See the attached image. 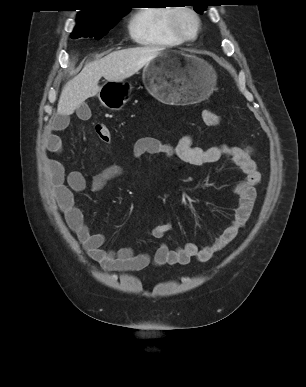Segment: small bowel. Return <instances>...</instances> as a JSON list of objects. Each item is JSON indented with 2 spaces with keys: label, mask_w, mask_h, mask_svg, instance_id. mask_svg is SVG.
Listing matches in <instances>:
<instances>
[{
  "label": "small bowel",
  "mask_w": 306,
  "mask_h": 387,
  "mask_svg": "<svg viewBox=\"0 0 306 387\" xmlns=\"http://www.w3.org/2000/svg\"><path fill=\"white\" fill-rule=\"evenodd\" d=\"M68 124V115L60 114L48 126L45 134V149L48 153L59 154L63 151L62 139L55 132L65 129ZM147 154H163L180 165L192 166L214 163L222 158L231 159L244 174V179L236 182L232 189L238 196V205L228 226L211 244L202 248L193 243H187L183 247L170 249L162 243L153 256L148 253L136 254L129 247L107 250L103 248L105 236L90 230L82 211L76 205L75 193L82 192L86 188L85 177L78 171L67 172L60 161L47 157L45 171L53 196L66 223L88 255L107 271H140L151 263L156 266L186 265L192 259L207 262L237 236L252 213L256 200V186L261 181V174L253 159V149L250 146L221 144L208 148L196 147L191 134L182 136L175 146L164 144L153 137L138 139L133 146L134 157L141 158ZM123 172V168L118 164L106 167L94 176L91 183L92 191H100L109 181L121 176ZM170 229L169 222L157 225L152 230V236L162 239Z\"/></svg>",
  "instance_id": "1"
}]
</instances>
